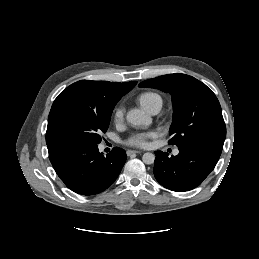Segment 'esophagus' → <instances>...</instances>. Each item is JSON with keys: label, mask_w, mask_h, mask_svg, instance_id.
<instances>
[{"label": "esophagus", "mask_w": 259, "mask_h": 259, "mask_svg": "<svg viewBox=\"0 0 259 259\" xmlns=\"http://www.w3.org/2000/svg\"><path fill=\"white\" fill-rule=\"evenodd\" d=\"M141 152L140 151H136V150H128L126 152L127 156H131V155H134V154H140Z\"/></svg>", "instance_id": "34e87169"}]
</instances>
